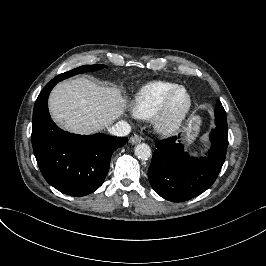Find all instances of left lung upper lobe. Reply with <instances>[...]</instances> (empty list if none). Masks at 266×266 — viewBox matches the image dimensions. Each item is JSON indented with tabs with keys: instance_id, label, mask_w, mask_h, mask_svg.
Returning <instances> with one entry per match:
<instances>
[{
	"instance_id": "5c2ea615",
	"label": "left lung upper lobe",
	"mask_w": 266,
	"mask_h": 266,
	"mask_svg": "<svg viewBox=\"0 0 266 266\" xmlns=\"http://www.w3.org/2000/svg\"><path fill=\"white\" fill-rule=\"evenodd\" d=\"M215 123L219 124V123H227L226 120V113L225 110L221 104V102L217 101V105H216V110H215Z\"/></svg>"
}]
</instances>
